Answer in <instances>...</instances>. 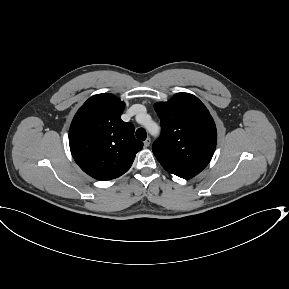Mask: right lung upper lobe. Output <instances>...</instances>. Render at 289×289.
I'll return each mask as SVG.
<instances>
[{"instance_id":"obj_1","label":"right lung upper lobe","mask_w":289,"mask_h":289,"mask_svg":"<svg viewBox=\"0 0 289 289\" xmlns=\"http://www.w3.org/2000/svg\"><path fill=\"white\" fill-rule=\"evenodd\" d=\"M124 103L110 93L90 97L75 114L69 145L79 167L97 180H111L131 167L143 143L134 137V126L120 116Z\"/></svg>"}]
</instances>
